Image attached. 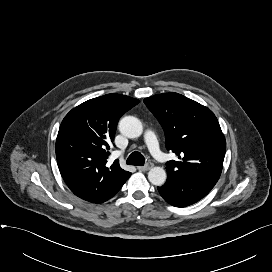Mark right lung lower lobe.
<instances>
[{
	"instance_id": "right-lung-lower-lobe-1",
	"label": "right lung lower lobe",
	"mask_w": 272,
	"mask_h": 272,
	"mask_svg": "<svg viewBox=\"0 0 272 272\" xmlns=\"http://www.w3.org/2000/svg\"><path fill=\"white\" fill-rule=\"evenodd\" d=\"M116 193H117V192H116ZM116 193H115V194H116ZM115 194H113L111 197H113ZM111 197H109L108 199H110ZM108 199H107V200H108ZM104 202H105V201H104Z\"/></svg>"
}]
</instances>
